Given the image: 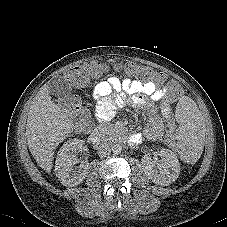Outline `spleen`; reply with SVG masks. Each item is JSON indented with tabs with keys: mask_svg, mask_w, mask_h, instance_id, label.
Returning <instances> with one entry per match:
<instances>
[{
	"mask_svg": "<svg viewBox=\"0 0 227 227\" xmlns=\"http://www.w3.org/2000/svg\"><path fill=\"white\" fill-rule=\"evenodd\" d=\"M179 117L178 132L180 134L177 153L184 160L196 157L202 140V116L195 104L189 98H182L175 105ZM195 159H193L194 161Z\"/></svg>",
	"mask_w": 227,
	"mask_h": 227,
	"instance_id": "spleen-1",
	"label": "spleen"
}]
</instances>
